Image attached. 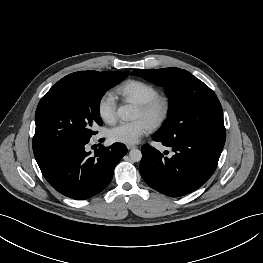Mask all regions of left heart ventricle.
<instances>
[{"instance_id": "left-heart-ventricle-1", "label": "left heart ventricle", "mask_w": 263, "mask_h": 263, "mask_svg": "<svg viewBox=\"0 0 263 263\" xmlns=\"http://www.w3.org/2000/svg\"><path fill=\"white\" fill-rule=\"evenodd\" d=\"M136 117H137V118H143V119H145L144 116H143V114H142V112L139 110V108H137Z\"/></svg>"}]
</instances>
